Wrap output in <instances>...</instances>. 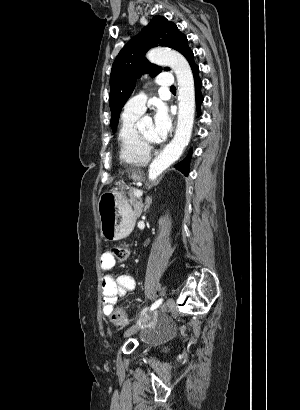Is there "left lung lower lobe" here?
<instances>
[{"instance_id":"left-lung-lower-lobe-1","label":"left lung lower lobe","mask_w":300,"mask_h":410,"mask_svg":"<svg viewBox=\"0 0 300 410\" xmlns=\"http://www.w3.org/2000/svg\"><path fill=\"white\" fill-rule=\"evenodd\" d=\"M187 60L189 62V65L192 69L193 76H194L197 115L199 117L201 115L200 106L203 102V96H202V93H201L202 81L199 78V67L194 62L193 53L190 54V56L188 57ZM191 155H192V150H190L188 156L183 161L179 162L175 166L177 169L182 171L185 175H188V173H189L188 166H189Z\"/></svg>"}]
</instances>
